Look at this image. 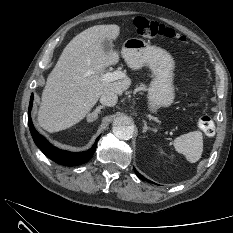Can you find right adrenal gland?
<instances>
[{"label":"right adrenal gland","instance_id":"obj_1","mask_svg":"<svg viewBox=\"0 0 233 233\" xmlns=\"http://www.w3.org/2000/svg\"><path fill=\"white\" fill-rule=\"evenodd\" d=\"M105 108V106H97L96 109L87 115V122H92L93 120L98 118V114L100 113L101 109Z\"/></svg>","mask_w":233,"mask_h":233}]
</instances>
